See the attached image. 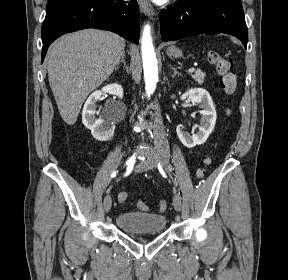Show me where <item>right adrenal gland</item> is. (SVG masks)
<instances>
[{"mask_svg":"<svg viewBox=\"0 0 288 280\" xmlns=\"http://www.w3.org/2000/svg\"><path fill=\"white\" fill-rule=\"evenodd\" d=\"M120 63H123L124 66H126V62H125V53L122 54L121 56V60L119 61V63L116 65L115 67V71L119 68Z\"/></svg>","mask_w":288,"mask_h":280,"instance_id":"2a0ac1e0","label":"right adrenal gland"}]
</instances>
